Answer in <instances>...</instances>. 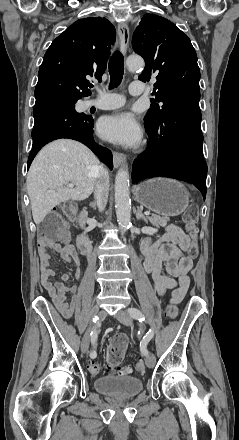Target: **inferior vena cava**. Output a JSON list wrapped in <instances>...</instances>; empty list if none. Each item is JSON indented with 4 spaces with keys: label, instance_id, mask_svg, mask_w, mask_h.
I'll return each instance as SVG.
<instances>
[{
    "label": "inferior vena cava",
    "instance_id": "602c4592",
    "mask_svg": "<svg viewBox=\"0 0 239 440\" xmlns=\"http://www.w3.org/2000/svg\"><path fill=\"white\" fill-rule=\"evenodd\" d=\"M108 194H109V174L107 170H105V168L99 166L97 170V178L94 188V198L96 200V204L100 212H103V210H105L106 208Z\"/></svg>",
    "mask_w": 239,
    "mask_h": 440
}]
</instances>
